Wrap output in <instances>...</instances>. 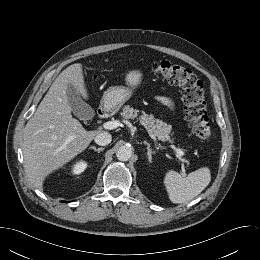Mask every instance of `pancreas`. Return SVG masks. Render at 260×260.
Masks as SVG:
<instances>
[{
	"instance_id": "pancreas-1",
	"label": "pancreas",
	"mask_w": 260,
	"mask_h": 260,
	"mask_svg": "<svg viewBox=\"0 0 260 260\" xmlns=\"http://www.w3.org/2000/svg\"><path fill=\"white\" fill-rule=\"evenodd\" d=\"M139 111L130 107L129 105L124 106L121 116L124 119H135L137 118L139 122L148 130V132L156 136L161 141H170V133L172 130L171 125H168L162 120L154 118V116L148 115L145 112H142L138 116Z\"/></svg>"
}]
</instances>
